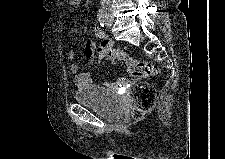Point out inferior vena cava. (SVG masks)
Segmentation results:
<instances>
[{"instance_id":"inferior-vena-cava-1","label":"inferior vena cava","mask_w":225,"mask_h":159,"mask_svg":"<svg viewBox=\"0 0 225 159\" xmlns=\"http://www.w3.org/2000/svg\"><path fill=\"white\" fill-rule=\"evenodd\" d=\"M101 5L102 6H110L111 5V1L110 0H101Z\"/></svg>"}]
</instances>
